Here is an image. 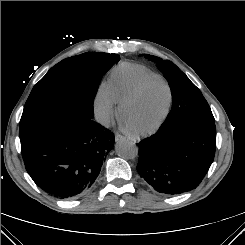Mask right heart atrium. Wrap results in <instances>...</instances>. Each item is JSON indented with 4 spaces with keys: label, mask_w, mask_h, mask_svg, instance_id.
<instances>
[{
    "label": "right heart atrium",
    "mask_w": 245,
    "mask_h": 245,
    "mask_svg": "<svg viewBox=\"0 0 245 245\" xmlns=\"http://www.w3.org/2000/svg\"><path fill=\"white\" fill-rule=\"evenodd\" d=\"M94 111L98 120L110 124L117 115V104L107 84L101 83L94 98Z\"/></svg>",
    "instance_id": "1"
}]
</instances>
